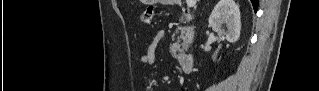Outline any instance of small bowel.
Returning <instances> with one entry per match:
<instances>
[{
  "label": "small bowel",
  "instance_id": "c3829d8e",
  "mask_svg": "<svg viewBox=\"0 0 319 91\" xmlns=\"http://www.w3.org/2000/svg\"><path fill=\"white\" fill-rule=\"evenodd\" d=\"M161 38L162 36L158 33L153 37L152 42L147 46L145 52L140 58L141 64L148 65L154 63L157 46Z\"/></svg>",
  "mask_w": 319,
  "mask_h": 91
}]
</instances>
